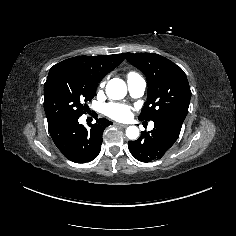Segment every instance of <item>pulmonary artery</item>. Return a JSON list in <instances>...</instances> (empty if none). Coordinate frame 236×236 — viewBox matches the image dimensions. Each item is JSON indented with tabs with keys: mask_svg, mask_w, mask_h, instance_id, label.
Segmentation results:
<instances>
[{
	"mask_svg": "<svg viewBox=\"0 0 236 236\" xmlns=\"http://www.w3.org/2000/svg\"><path fill=\"white\" fill-rule=\"evenodd\" d=\"M127 85L129 92L134 97H141L145 93L146 90V82L139 75H129L127 79ZM154 124L151 122L149 124V129H153Z\"/></svg>",
	"mask_w": 236,
	"mask_h": 236,
	"instance_id": "1",
	"label": "pulmonary artery"
}]
</instances>
